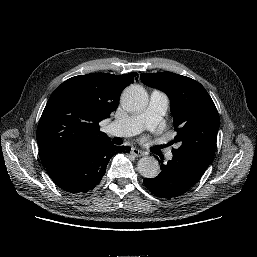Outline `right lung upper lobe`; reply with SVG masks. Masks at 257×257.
<instances>
[{"label": "right lung upper lobe", "instance_id": "obj_1", "mask_svg": "<svg viewBox=\"0 0 257 257\" xmlns=\"http://www.w3.org/2000/svg\"><path fill=\"white\" fill-rule=\"evenodd\" d=\"M138 74L91 73L72 77L50 96L37 128L42 165L87 145L110 138L99 122L117 109L121 92Z\"/></svg>", "mask_w": 257, "mask_h": 257}]
</instances>
